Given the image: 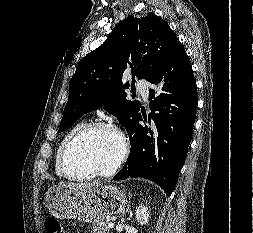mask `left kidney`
Returning <instances> with one entry per match:
<instances>
[{"mask_svg":"<svg viewBox=\"0 0 253 233\" xmlns=\"http://www.w3.org/2000/svg\"><path fill=\"white\" fill-rule=\"evenodd\" d=\"M136 221L140 225H145L149 221V212L148 208L145 205H139L138 208L136 209Z\"/></svg>","mask_w":253,"mask_h":233,"instance_id":"5707ae66","label":"left kidney"}]
</instances>
